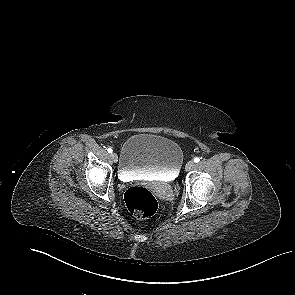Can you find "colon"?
<instances>
[{"label":"colon","instance_id":"5ec220e1","mask_svg":"<svg viewBox=\"0 0 295 295\" xmlns=\"http://www.w3.org/2000/svg\"><path fill=\"white\" fill-rule=\"evenodd\" d=\"M129 212L137 219H146L154 215L159 207L157 198L146 188L130 187L124 195Z\"/></svg>","mask_w":295,"mask_h":295}]
</instances>
